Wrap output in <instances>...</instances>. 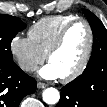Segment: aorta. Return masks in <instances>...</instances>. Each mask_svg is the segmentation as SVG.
Listing matches in <instances>:
<instances>
[{
	"label": "aorta",
	"instance_id": "aorta-1",
	"mask_svg": "<svg viewBox=\"0 0 107 107\" xmlns=\"http://www.w3.org/2000/svg\"><path fill=\"white\" fill-rule=\"evenodd\" d=\"M42 96L44 102L48 105H54L58 103L60 99L59 91L52 87L45 89Z\"/></svg>",
	"mask_w": 107,
	"mask_h": 107
}]
</instances>
